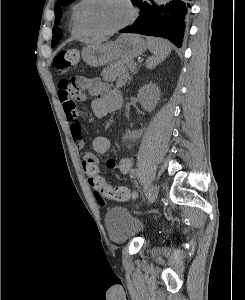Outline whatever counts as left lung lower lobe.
Masks as SVG:
<instances>
[{"instance_id": "left-lung-lower-lobe-1", "label": "left lung lower lobe", "mask_w": 245, "mask_h": 300, "mask_svg": "<svg viewBox=\"0 0 245 300\" xmlns=\"http://www.w3.org/2000/svg\"><path fill=\"white\" fill-rule=\"evenodd\" d=\"M150 1L134 0L133 3L140 9V15L132 26L119 32L163 37L181 47L186 15L191 7L188 3L190 0H173L162 6L153 4V0Z\"/></svg>"}]
</instances>
